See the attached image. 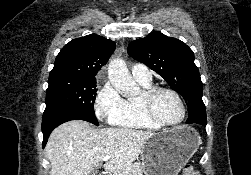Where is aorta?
Masks as SVG:
<instances>
[{"instance_id":"aorta-1","label":"aorta","mask_w":251,"mask_h":175,"mask_svg":"<svg viewBox=\"0 0 251 175\" xmlns=\"http://www.w3.org/2000/svg\"><path fill=\"white\" fill-rule=\"evenodd\" d=\"M108 78L113 86L121 95H131L139 89L136 82L128 72V68L124 60H111L108 64Z\"/></svg>"}]
</instances>
